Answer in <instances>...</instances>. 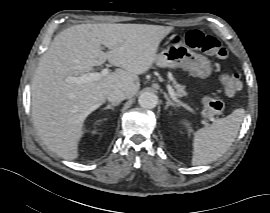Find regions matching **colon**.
I'll use <instances>...</instances> for the list:
<instances>
[{
	"instance_id": "1",
	"label": "colon",
	"mask_w": 270,
	"mask_h": 213,
	"mask_svg": "<svg viewBox=\"0 0 270 213\" xmlns=\"http://www.w3.org/2000/svg\"><path fill=\"white\" fill-rule=\"evenodd\" d=\"M185 41L193 50H199L218 59H225L228 51L223 44L213 36L205 35L200 31H189ZM221 85L228 96H235L240 91V77L237 72L229 73L221 78ZM223 109V103L213 95H206L202 99V115L213 117Z\"/></svg>"
}]
</instances>
